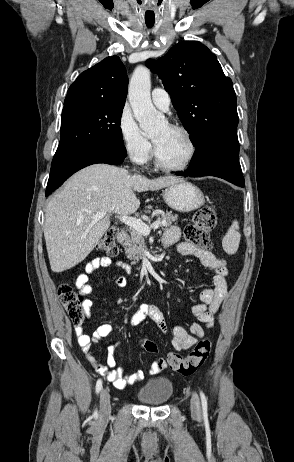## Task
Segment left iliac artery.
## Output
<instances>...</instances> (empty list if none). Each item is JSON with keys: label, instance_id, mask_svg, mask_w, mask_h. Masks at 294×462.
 <instances>
[{"label": "left iliac artery", "instance_id": "obj_1", "mask_svg": "<svg viewBox=\"0 0 294 462\" xmlns=\"http://www.w3.org/2000/svg\"><path fill=\"white\" fill-rule=\"evenodd\" d=\"M200 396L203 410H207V398L205 397V394L202 391H200Z\"/></svg>", "mask_w": 294, "mask_h": 462}]
</instances>
